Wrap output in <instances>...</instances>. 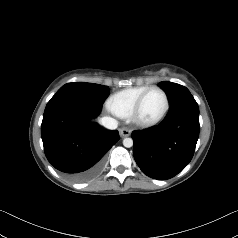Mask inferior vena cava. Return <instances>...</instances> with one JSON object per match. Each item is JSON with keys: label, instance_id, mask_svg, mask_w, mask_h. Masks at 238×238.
Segmentation results:
<instances>
[{"label": "inferior vena cava", "instance_id": "inferior-vena-cava-1", "mask_svg": "<svg viewBox=\"0 0 238 238\" xmlns=\"http://www.w3.org/2000/svg\"><path fill=\"white\" fill-rule=\"evenodd\" d=\"M100 124H102L104 127L110 129V130H114L117 128L118 126V122L117 120H115L114 118L112 117H102L100 120H99Z\"/></svg>", "mask_w": 238, "mask_h": 238}]
</instances>
